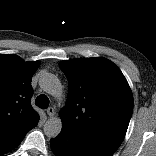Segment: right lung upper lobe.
Returning a JSON list of instances; mask_svg holds the SVG:
<instances>
[{"label": "right lung upper lobe", "instance_id": "right-lung-upper-lobe-1", "mask_svg": "<svg viewBox=\"0 0 156 156\" xmlns=\"http://www.w3.org/2000/svg\"><path fill=\"white\" fill-rule=\"evenodd\" d=\"M39 65L0 54V155L18 146L39 121L30 103L31 79Z\"/></svg>", "mask_w": 156, "mask_h": 156}]
</instances>
